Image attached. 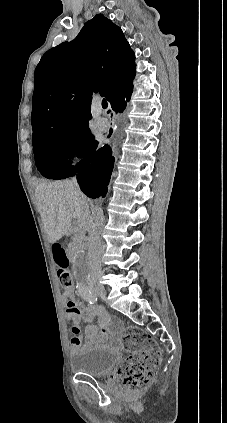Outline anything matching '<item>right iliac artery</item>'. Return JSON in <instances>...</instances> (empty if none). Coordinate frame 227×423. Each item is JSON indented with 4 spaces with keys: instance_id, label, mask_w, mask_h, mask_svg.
Returning <instances> with one entry per match:
<instances>
[{
    "instance_id": "82829eb1",
    "label": "right iliac artery",
    "mask_w": 227,
    "mask_h": 423,
    "mask_svg": "<svg viewBox=\"0 0 227 423\" xmlns=\"http://www.w3.org/2000/svg\"><path fill=\"white\" fill-rule=\"evenodd\" d=\"M79 291L81 293V296L83 297V299H85L86 301H88L90 304L94 303L97 301V296L96 294H94L90 288H88L86 285H81L79 287Z\"/></svg>"
}]
</instances>
